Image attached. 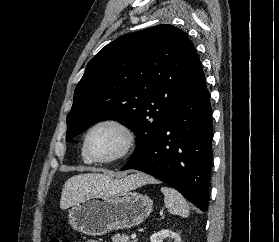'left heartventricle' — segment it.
<instances>
[{
  "label": "left heart ventricle",
  "instance_id": "1",
  "mask_svg": "<svg viewBox=\"0 0 279 242\" xmlns=\"http://www.w3.org/2000/svg\"><path fill=\"white\" fill-rule=\"evenodd\" d=\"M123 134L115 127L103 126L90 136L88 147L95 158H107L116 154L123 146Z\"/></svg>",
  "mask_w": 279,
  "mask_h": 242
}]
</instances>
